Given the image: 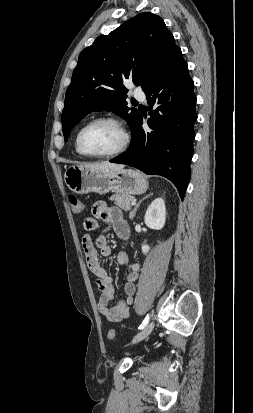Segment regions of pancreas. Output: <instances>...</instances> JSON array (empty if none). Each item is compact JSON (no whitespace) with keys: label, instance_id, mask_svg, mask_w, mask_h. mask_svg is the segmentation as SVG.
Segmentation results:
<instances>
[{"label":"pancreas","instance_id":"obj_1","mask_svg":"<svg viewBox=\"0 0 253 413\" xmlns=\"http://www.w3.org/2000/svg\"><path fill=\"white\" fill-rule=\"evenodd\" d=\"M110 200L114 202L118 207L124 211H129L131 209V203L134 201V196L126 195L123 193H117L110 197Z\"/></svg>","mask_w":253,"mask_h":413}]
</instances>
